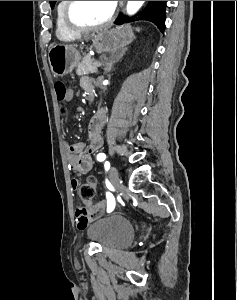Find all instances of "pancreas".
Returning <instances> with one entry per match:
<instances>
[{
	"label": "pancreas",
	"instance_id": "cf45deb5",
	"mask_svg": "<svg viewBox=\"0 0 237 300\" xmlns=\"http://www.w3.org/2000/svg\"><path fill=\"white\" fill-rule=\"evenodd\" d=\"M94 61L95 59H91L90 55H84L81 63H78L77 65V75H89V73H96V67L93 65Z\"/></svg>",
	"mask_w": 237,
	"mask_h": 300
}]
</instances>
